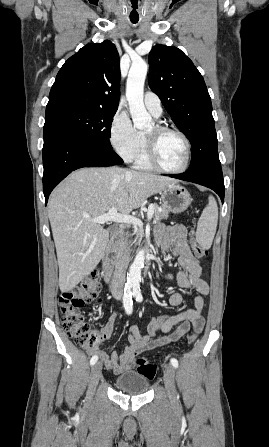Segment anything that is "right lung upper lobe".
Wrapping results in <instances>:
<instances>
[{
	"instance_id": "obj_1",
	"label": "right lung upper lobe",
	"mask_w": 269,
	"mask_h": 447,
	"mask_svg": "<svg viewBox=\"0 0 269 447\" xmlns=\"http://www.w3.org/2000/svg\"><path fill=\"white\" fill-rule=\"evenodd\" d=\"M119 98V55L106 40L87 44L64 63L51 88L46 113L65 107L117 109Z\"/></svg>"
}]
</instances>
